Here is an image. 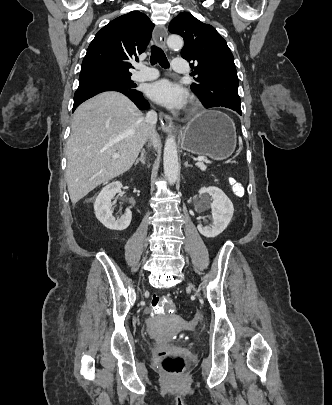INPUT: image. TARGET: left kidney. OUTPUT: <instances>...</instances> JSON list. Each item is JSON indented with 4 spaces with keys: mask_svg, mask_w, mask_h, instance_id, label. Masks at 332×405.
<instances>
[{
    "mask_svg": "<svg viewBox=\"0 0 332 405\" xmlns=\"http://www.w3.org/2000/svg\"><path fill=\"white\" fill-rule=\"evenodd\" d=\"M208 193L212 197L210 207L212 209V225L197 226L198 231L207 238H213L222 233L230 223L234 207L226 194L217 187L201 188L199 194Z\"/></svg>",
    "mask_w": 332,
    "mask_h": 405,
    "instance_id": "1",
    "label": "left kidney"
}]
</instances>
